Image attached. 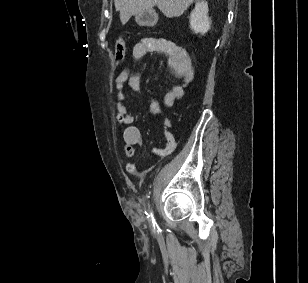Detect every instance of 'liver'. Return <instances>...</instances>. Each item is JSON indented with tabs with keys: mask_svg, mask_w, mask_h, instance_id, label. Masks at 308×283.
I'll return each instance as SVG.
<instances>
[{
	"mask_svg": "<svg viewBox=\"0 0 308 283\" xmlns=\"http://www.w3.org/2000/svg\"><path fill=\"white\" fill-rule=\"evenodd\" d=\"M195 0H114L122 24L132 15L151 10L155 5L169 18L181 16Z\"/></svg>",
	"mask_w": 308,
	"mask_h": 283,
	"instance_id": "obj_1",
	"label": "liver"
}]
</instances>
